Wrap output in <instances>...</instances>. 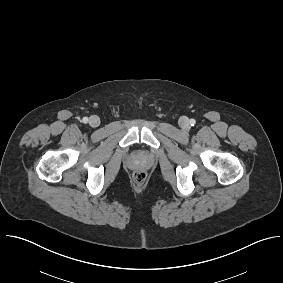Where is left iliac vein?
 <instances>
[{"label":"left iliac vein","instance_id":"4c4485c4","mask_svg":"<svg viewBox=\"0 0 283 283\" xmlns=\"http://www.w3.org/2000/svg\"><path fill=\"white\" fill-rule=\"evenodd\" d=\"M179 124L182 128H187L189 126V120L187 117H181L179 120Z\"/></svg>","mask_w":283,"mask_h":283}]
</instances>
